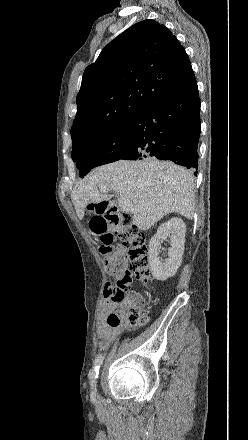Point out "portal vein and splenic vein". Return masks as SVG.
<instances>
[{
  "label": "portal vein and splenic vein",
  "instance_id": "obj_1",
  "mask_svg": "<svg viewBox=\"0 0 248 440\" xmlns=\"http://www.w3.org/2000/svg\"><path fill=\"white\" fill-rule=\"evenodd\" d=\"M102 192H106V190H101ZM118 205L121 207L122 210L126 211V212H134L135 208H133L132 203H130L129 201L123 199V198H119L118 199Z\"/></svg>",
  "mask_w": 248,
  "mask_h": 440
}]
</instances>
